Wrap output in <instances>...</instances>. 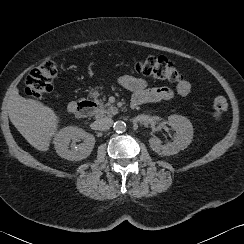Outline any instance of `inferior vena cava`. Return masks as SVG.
I'll return each mask as SVG.
<instances>
[{"label":"inferior vena cava","mask_w":244,"mask_h":244,"mask_svg":"<svg viewBox=\"0 0 244 244\" xmlns=\"http://www.w3.org/2000/svg\"><path fill=\"white\" fill-rule=\"evenodd\" d=\"M113 120L111 118L105 117L100 118L96 121V127L98 130L105 131L112 127Z\"/></svg>","instance_id":"1"}]
</instances>
